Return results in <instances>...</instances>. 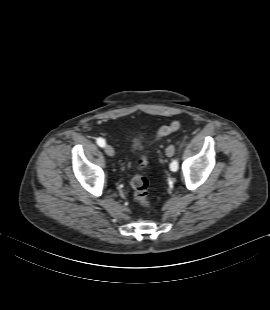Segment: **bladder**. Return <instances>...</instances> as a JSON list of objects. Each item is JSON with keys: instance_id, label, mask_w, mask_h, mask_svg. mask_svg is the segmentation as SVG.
Instances as JSON below:
<instances>
[{"instance_id": "1", "label": "bladder", "mask_w": 270, "mask_h": 310, "mask_svg": "<svg viewBox=\"0 0 270 310\" xmlns=\"http://www.w3.org/2000/svg\"><path fill=\"white\" fill-rule=\"evenodd\" d=\"M141 144V140L139 138H135L132 142V148L136 150Z\"/></svg>"}]
</instances>
